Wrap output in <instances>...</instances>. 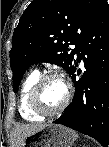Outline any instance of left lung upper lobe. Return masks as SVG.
I'll return each mask as SVG.
<instances>
[{
    "instance_id": "left-lung-upper-lobe-1",
    "label": "left lung upper lobe",
    "mask_w": 109,
    "mask_h": 147,
    "mask_svg": "<svg viewBox=\"0 0 109 147\" xmlns=\"http://www.w3.org/2000/svg\"><path fill=\"white\" fill-rule=\"evenodd\" d=\"M106 0H34L24 11L12 38L10 52L13 89L36 62H48L72 73L78 44ZM69 45H76L71 50ZM102 76L91 71L87 87L96 92Z\"/></svg>"
}]
</instances>
